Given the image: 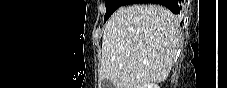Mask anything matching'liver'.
<instances>
[{
	"instance_id": "obj_1",
	"label": "liver",
	"mask_w": 227,
	"mask_h": 88,
	"mask_svg": "<svg viewBox=\"0 0 227 88\" xmlns=\"http://www.w3.org/2000/svg\"><path fill=\"white\" fill-rule=\"evenodd\" d=\"M179 39L178 18L169 9L156 4L119 8L105 26L101 80H110L116 88L164 82Z\"/></svg>"
}]
</instances>
